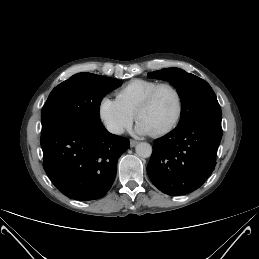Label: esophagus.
<instances>
[{
  "label": "esophagus",
  "mask_w": 259,
  "mask_h": 259,
  "mask_svg": "<svg viewBox=\"0 0 259 259\" xmlns=\"http://www.w3.org/2000/svg\"><path fill=\"white\" fill-rule=\"evenodd\" d=\"M138 144V141L131 139L130 140V146L135 147Z\"/></svg>",
  "instance_id": "34e87169"
}]
</instances>
